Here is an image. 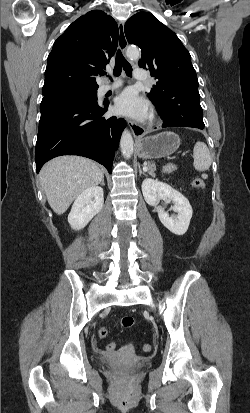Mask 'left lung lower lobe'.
<instances>
[{
    "label": "left lung lower lobe",
    "mask_w": 250,
    "mask_h": 413,
    "mask_svg": "<svg viewBox=\"0 0 250 413\" xmlns=\"http://www.w3.org/2000/svg\"><path fill=\"white\" fill-rule=\"evenodd\" d=\"M163 119L162 127L204 128L203 111L198 90L186 88L172 93L171 99L157 101L149 97Z\"/></svg>",
    "instance_id": "0a47b994"
}]
</instances>
